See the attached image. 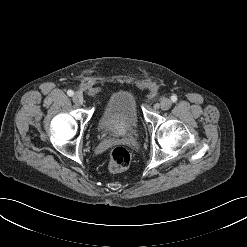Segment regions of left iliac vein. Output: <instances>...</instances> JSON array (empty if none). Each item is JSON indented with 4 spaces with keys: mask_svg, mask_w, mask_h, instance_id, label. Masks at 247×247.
<instances>
[{
    "mask_svg": "<svg viewBox=\"0 0 247 247\" xmlns=\"http://www.w3.org/2000/svg\"><path fill=\"white\" fill-rule=\"evenodd\" d=\"M171 105H172V102H171V100L168 99V98H164V99H162L161 102H160V108H161L162 110H168V109L171 107Z\"/></svg>",
    "mask_w": 247,
    "mask_h": 247,
    "instance_id": "left-iliac-vein-1",
    "label": "left iliac vein"
}]
</instances>
